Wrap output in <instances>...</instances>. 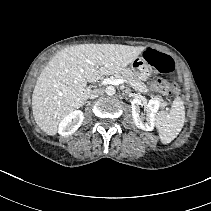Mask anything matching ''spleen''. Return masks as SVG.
<instances>
[{"label":"spleen","instance_id":"spleen-1","mask_svg":"<svg viewBox=\"0 0 211 211\" xmlns=\"http://www.w3.org/2000/svg\"><path fill=\"white\" fill-rule=\"evenodd\" d=\"M154 126H156L159 139L163 144L173 141L181 132L185 122L184 102L180 97H176L172 103L169 113L160 111L155 114Z\"/></svg>","mask_w":211,"mask_h":211}]
</instances>
